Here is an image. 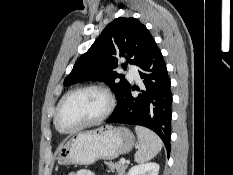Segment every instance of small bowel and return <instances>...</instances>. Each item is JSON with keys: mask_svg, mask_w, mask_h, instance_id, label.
<instances>
[{"mask_svg": "<svg viewBox=\"0 0 233 175\" xmlns=\"http://www.w3.org/2000/svg\"><path fill=\"white\" fill-rule=\"evenodd\" d=\"M69 175H96V174L88 169H80L76 172L70 173Z\"/></svg>", "mask_w": 233, "mask_h": 175, "instance_id": "small-bowel-1", "label": "small bowel"}]
</instances>
